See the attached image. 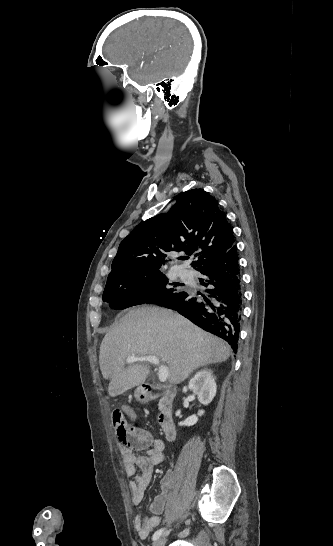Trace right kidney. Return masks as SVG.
Instances as JSON below:
<instances>
[{"mask_svg": "<svg viewBox=\"0 0 333 546\" xmlns=\"http://www.w3.org/2000/svg\"><path fill=\"white\" fill-rule=\"evenodd\" d=\"M188 388L197 395L198 400L203 405H208L214 398L216 394V383L215 378L212 376L211 369H203L190 380ZM204 411L199 410L198 416L203 415ZM180 411L176 412V415H179ZM198 417L196 415L189 416L183 422H180L181 426H192L196 424Z\"/></svg>", "mask_w": 333, "mask_h": 546, "instance_id": "right-kidney-1", "label": "right kidney"}]
</instances>
